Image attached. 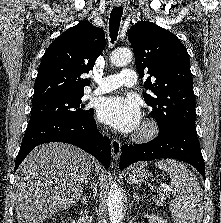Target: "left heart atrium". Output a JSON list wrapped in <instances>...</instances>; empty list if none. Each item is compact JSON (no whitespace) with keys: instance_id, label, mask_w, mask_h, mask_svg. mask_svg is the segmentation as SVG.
<instances>
[{"instance_id":"left-heart-atrium-1","label":"left heart atrium","mask_w":221,"mask_h":223,"mask_svg":"<svg viewBox=\"0 0 221 223\" xmlns=\"http://www.w3.org/2000/svg\"><path fill=\"white\" fill-rule=\"evenodd\" d=\"M97 118L117 131L131 133L140 127L141 109L134 98L114 95L101 101Z\"/></svg>"}]
</instances>
